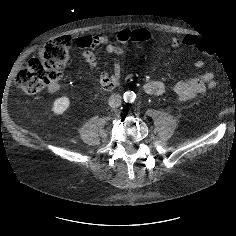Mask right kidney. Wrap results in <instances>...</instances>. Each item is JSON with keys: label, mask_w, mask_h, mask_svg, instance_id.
I'll return each instance as SVG.
<instances>
[{"label": "right kidney", "mask_w": 236, "mask_h": 236, "mask_svg": "<svg viewBox=\"0 0 236 236\" xmlns=\"http://www.w3.org/2000/svg\"><path fill=\"white\" fill-rule=\"evenodd\" d=\"M70 99L67 96H62L60 98L55 99L52 111L56 115L62 114L64 111H66L69 107Z\"/></svg>", "instance_id": "ca27d5eb"}]
</instances>
